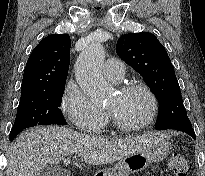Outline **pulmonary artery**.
I'll return each mask as SVG.
<instances>
[{
  "instance_id": "obj_1",
  "label": "pulmonary artery",
  "mask_w": 205,
  "mask_h": 176,
  "mask_svg": "<svg viewBox=\"0 0 205 176\" xmlns=\"http://www.w3.org/2000/svg\"><path fill=\"white\" fill-rule=\"evenodd\" d=\"M103 74L109 81L119 83L125 76V67L123 62L114 58L107 59L103 66Z\"/></svg>"
}]
</instances>
